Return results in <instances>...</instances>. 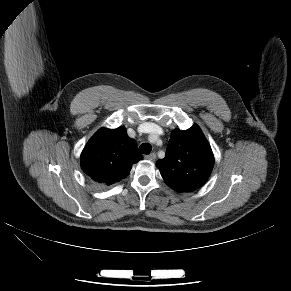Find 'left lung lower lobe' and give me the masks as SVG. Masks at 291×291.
Segmentation results:
<instances>
[{
  "label": "left lung lower lobe",
  "mask_w": 291,
  "mask_h": 291,
  "mask_svg": "<svg viewBox=\"0 0 291 291\" xmlns=\"http://www.w3.org/2000/svg\"><path fill=\"white\" fill-rule=\"evenodd\" d=\"M173 190L177 191V192H188L186 189L184 188H179V187H173Z\"/></svg>",
  "instance_id": "obj_1"
}]
</instances>
